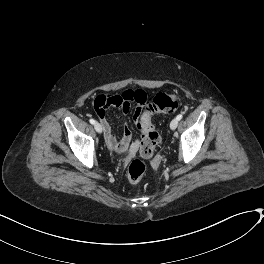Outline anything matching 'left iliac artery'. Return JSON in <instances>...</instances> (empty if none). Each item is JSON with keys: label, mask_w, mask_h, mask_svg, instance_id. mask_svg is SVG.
<instances>
[{"label": "left iliac artery", "mask_w": 264, "mask_h": 264, "mask_svg": "<svg viewBox=\"0 0 264 264\" xmlns=\"http://www.w3.org/2000/svg\"><path fill=\"white\" fill-rule=\"evenodd\" d=\"M182 117H183V115H182V114H179L176 118H177L178 120H181Z\"/></svg>", "instance_id": "44dca946"}]
</instances>
